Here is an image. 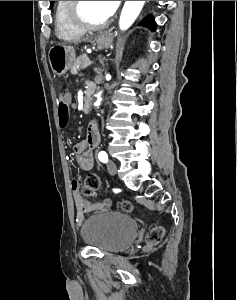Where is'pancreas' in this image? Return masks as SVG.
<instances>
[{
    "instance_id": "1",
    "label": "pancreas",
    "mask_w": 237,
    "mask_h": 300,
    "mask_svg": "<svg viewBox=\"0 0 237 300\" xmlns=\"http://www.w3.org/2000/svg\"><path fill=\"white\" fill-rule=\"evenodd\" d=\"M87 60L89 61V57H87V55H80V57H77L75 63H73V67H71V73H78V71H82V69H85L84 62H86Z\"/></svg>"
}]
</instances>
